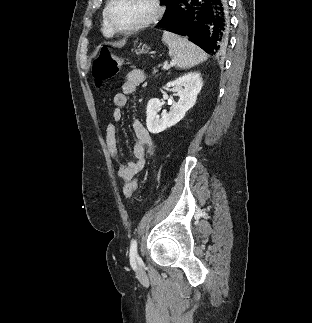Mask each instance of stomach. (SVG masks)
<instances>
[{"label":"stomach","mask_w":312,"mask_h":323,"mask_svg":"<svg viewBox=\"0 0 312 323\" xmlns=\"http://www.w3.org/2000/svg\"><path fill=\"white\" fill-rule=\"evenodd\" d=\"M147 50H144V48H142V50H138V52H136V54H146Z\"/></svg>","instance_id":"stomach-1"}]
</instances>
